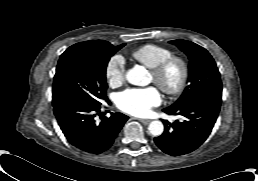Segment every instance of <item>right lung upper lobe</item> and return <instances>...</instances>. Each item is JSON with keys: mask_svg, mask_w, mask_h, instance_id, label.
<instances>
[{"mask_svg": "<svg viewBox=\"0 0 258 181\" xmlns=\"http://www.w3.org/2000/svg\"><path fill=\"white\" fill-rule=\"evenodd\" d=\"M81 43H87V44H93V45H99V46L110 44L109 42L103 41V40H91V41H86Z\"/></svg>", "mask_w": 258, "mask_h": 181, "instance_id": "1", "label": "right lung upper lobe"}]
</instances>
